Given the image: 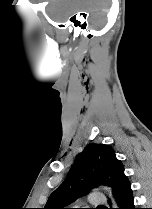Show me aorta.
<instances>
[{
    "label": "aorta",
    "mask_w": 152,
    "mask_h": 209,
    "mask_svg": "<svg viewBox=\"0 0 152 209\" xmlns=\"http://www.w3.org/2000/svg\"><path fill=\"white\" fill-rule=\"evenodd\" d=\"M106 189L108 190V192H109V196H110V197H111V199H112V204H113V206H116V203H115V201H114V199H113V197H112L111 190H110L109 188H107V187H106Z\"/></svg>",
    "instance_id": "obj_1"
}]
</instances>
